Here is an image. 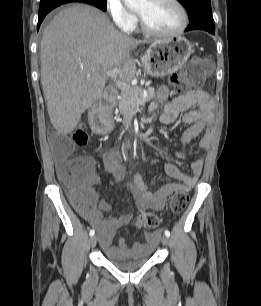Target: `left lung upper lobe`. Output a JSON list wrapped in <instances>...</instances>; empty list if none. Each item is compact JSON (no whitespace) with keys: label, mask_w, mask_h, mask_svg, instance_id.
Instances as JSON below:
<instances>
[{"label":"left lung upper lobe","mask_w":261,"mask_h":306,"mask_svg":"<svg viewBox=\"0 0 261 306\" xmlns=\"http://www.w3.org/2000/svg\"><path fill=\"white\" fill-rule=\"evenodd\" d=\"M185 8L190 23L205 22L215 25L210 0H178Z\"/></svg>","instance_id":"obj_1"}]
</instances>
